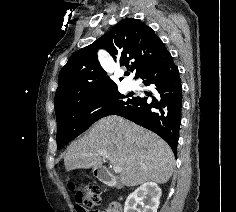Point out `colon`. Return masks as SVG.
Returning <instances> with one entry per match:
<instances>
[{"mask_svg":"<svg viewBox=\"0 0 236 212\" xmlns=\"http://www.w3.org/2000/svg\"><path fill=\"white\" fill-rule=\"evenodd\" d=\"M79 212H99L94 210L101 203V190L93 182H82L78 186H71Z\"/></svg>","mask_w":236,"mask_h":212,"instance_id":"1","label":"colon"}]
</instances>
